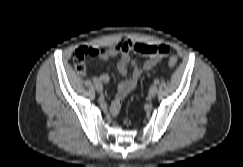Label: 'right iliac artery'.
<instances>
[{
    "label": "right iliac artery",
    "mask_w": 243,
    "mask_h": 167,
    "mask_svg": "<svg viewBox=\"0 0 243 167\" xmlns=\"http://www.w3.org/2000/svg\"><path fill=\"white\" fill-rule=\"evenodd\" d=\"M93 82H94L95 84H97V83H99V80H98L97 78H94V79H93Z\"/></svg>",
    "instance_id": "82829eb1"
}]
</instances>
